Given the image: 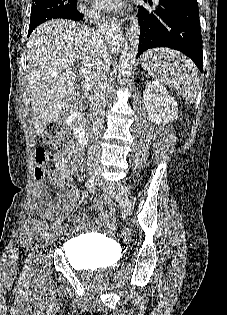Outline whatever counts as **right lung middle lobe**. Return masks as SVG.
<instances>
[{"instance_id": "obj_1", "label": "right lung middle lobe", "mask_w": 227, "mask_h": 315, "mask_svg": "<svg viewBox=\"0 0 227 315\" xmlns=\"http://www.w3.org/2000/svg\"><path fill=\"white\" fill-rule=\"evenodd\" d=\"M74 7H76V0H33L29 32L47 20L68 19Z\"/></svg>"}]
</instances>
